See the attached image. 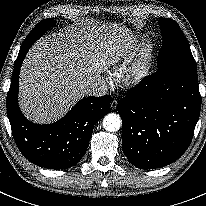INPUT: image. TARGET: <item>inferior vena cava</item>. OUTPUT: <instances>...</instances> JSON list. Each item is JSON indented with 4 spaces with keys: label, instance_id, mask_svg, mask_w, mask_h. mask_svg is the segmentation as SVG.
Instances as JSON below:
<instances>
[{
    "label": "inferior vena cava",
    "instance_id": "obj_1",
    "mask_svg": "<svg viewBox=\"0 0 206 206\" xmlns=\"http://www.w3.org/2000/svg\"><path fill=\"white\" fill-rule=\"evenodd\" d=\"M106 92H107V84L104 80L96 81L95 83L91 84L86 90V93L88 95L96 96V97L103 96L106 94Z\"/></svg>",
    "mask_w": 206,
    "mask_h": 206
}]
</instances>
